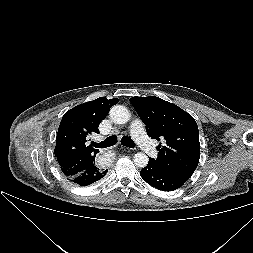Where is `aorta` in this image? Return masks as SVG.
<instances>
[{
    "label": "aorta",
    "instance_id": "762f6f07",
    "mask_svg": "<svg viewBox=\"0 0 253 253\" xmlns=\"http://www.w3.org/2000/svg\"><path fill=\"white\" fill-rule=\"evenodd\" d=\"M109 115L111 120L116 124H125L131 118V114L128 109L122 105L113 106L110 109ZM133 161L137 167L143 168L147 166L149 159L146 154L139 152L134 155Z\"/></svg>",
    "mask_w": 253,
    "mask_h": 253
}]
</instances>
